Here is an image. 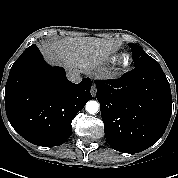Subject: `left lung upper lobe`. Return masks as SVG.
I'll return each mask as SVG.
<instances>
[{"instance_id":"5c2ea615","label":"left lung upper lobe","mask_w":178,"mask_h":178,"mask_svg":"<svg viewBox=\"0 0 178 178\" xmlns=\"http://www.w3.org/2000/svg\"><path fill=\"white\" fill-rule=\"evenodd\" d=\"M132 50V58L134 65L139 66L146 63L156 62L152 57L145 53V51L138 45L129 43Z\"/></svg>"}]
</instances>
